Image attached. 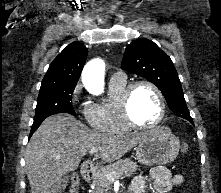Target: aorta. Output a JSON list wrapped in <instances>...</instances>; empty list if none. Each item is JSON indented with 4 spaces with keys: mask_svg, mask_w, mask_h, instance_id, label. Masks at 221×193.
Returning a JSON list of instances; mask_svg holds the SVG:
<instances>
[{
    "mask_svg": "<svg viewBox=\"0 0 221 193\" xmlns=\"http://www.w3.org/2000/svg\"><path fill=\"white\" fill-rule=\"evenodd\" d=\"M98 70H99V62L98 61H93V62L89 63L86 67V71H90L93 74H96ZM98 90L100 91V87Z\"/></svg>",
    "mask_w": 221,
    "mask_h": 193,
    "instance_id": "1",
    "label": "aorta"
}]
</instances>
